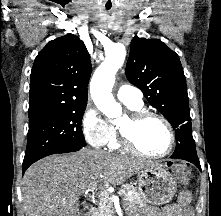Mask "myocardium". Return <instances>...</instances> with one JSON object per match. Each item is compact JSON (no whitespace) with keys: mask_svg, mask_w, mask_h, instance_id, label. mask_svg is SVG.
<instances>
[{"mask_svg":"<svg viewBox=\"0 0 221 216\" xmlns=\"http://www.w3.org/2000/svg\"><path fill=\"white\" fill-rule=\"evenodd\" d=\"M148 118H155L160 120L168 131L169 145L168 148L162 153H148L136 143V131L139 126ZM117 134L120 145L123 149L146 158L157 159L166 157L173 151L176 143L175 131L170 121L162 114L149 109L131 111V113L125 115L117 123Z\"/></svg>","mask_w":221,"mask_h":216,"instance_id":"myocardium-1","label":"myocardium"}]
</instances>
